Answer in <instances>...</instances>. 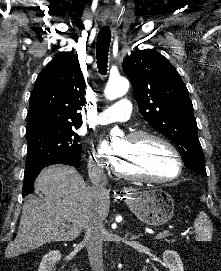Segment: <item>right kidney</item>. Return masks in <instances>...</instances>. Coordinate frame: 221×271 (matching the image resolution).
<instances>
[{"label":"right kidney","instance_id":"ca27d5eb","mask_svg":"<svg viewBox=\"0 0 221 271\" xmlns=\"http://www.w3.org/2000/svg\"><path fill=\"white\" fill-rule=\"evenodd\" d=\"M59 259H61V251L59 249H51V251L43 255L38 271H53Z\"/></svg>","mask_w":221,"mask_h":271}]
</instances>
